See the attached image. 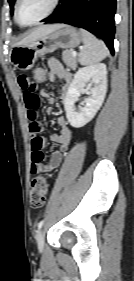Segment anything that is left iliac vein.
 Masks as SVG:
<instances>
[{"label":"left iliac vein","instance_id":"left-iliac-vein-1","mask_svg":"<svg viewBox=\"0 0 134 281\" xmlns=\"http://www.w3.org/2000/svg\"><path fill=\"white\" fill-rule=\"evenodd\" d=\"M36 241H37V246H38L39 251H42L43 246H44V232H43V230H40L39 233L37 234Z\"/></svg>","mask_w":134,"mask_h":281}]
</instances>
